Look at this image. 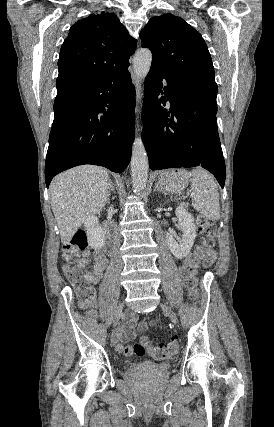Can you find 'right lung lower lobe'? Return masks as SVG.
<instances>
[{
    "label": "right lung lower lobe",
    "instance_id": "98d812e1",
    "mask_svg": "<svg viewBox=\"0 0 274 427\" xmlns=\"http://www.w3.org/2000/svg\"><path fill=\"white\" fill-rule=\"evenodd\" d=\"M135 87L128 69L78 95L54 102L45 180L83 164L120 173L134 140ZM103 114V115H101Z\"/></svg>",
    "mask_w": 274,
    "mask_h": 427
}]
</instances>
